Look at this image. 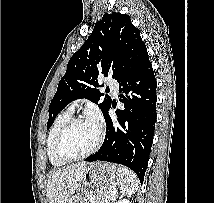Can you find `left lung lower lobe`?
Returning a JSON list of instances; mask_svg holds the SVG:
<instances>
[{
    "mask_svg": "<svg viewBox=\"0 0 214 203\" xmlns=\"http://www.w3.org/2000/svg\"><path fill=\"white\" fill-rule=\"evenodd\" d=\"M120 101L113 121L104 114L106 136L102 147L85 161H109L131 168L143 182L156 123L157 82L147 49L141 51L118 80ZM111 107V105H110ZM109 107V108H110Z\"/></svg>",
    "mask_w": 214,
    "mask_h": 203,
    "instance_id": "obj_1",
    "label": "left lung lower lobe"
}]
</instances>
